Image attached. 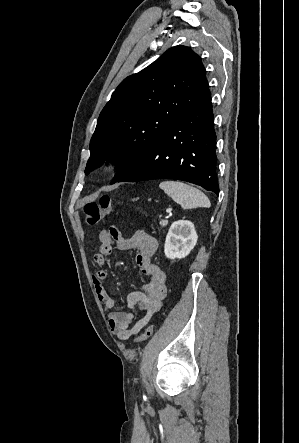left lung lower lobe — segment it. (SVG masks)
Listing matches in <instances>:
<instances>
[{
    "instance_id": "0a47b994",
    "label": "left lung lower lobe",
    "mask_w": 299,
    "mask_h": 443,
    "mask_svg": "<svg viewBox=\"0 0 299 443\" xmlns=\"http://www.w3.org/2000/svg\"><path fill=\"white\" fill-rule=\"evenodd\" d=\"M216 135L210 91H206L116 182L176 179L219 194Z\"/></svg>"
}]
</instances>
